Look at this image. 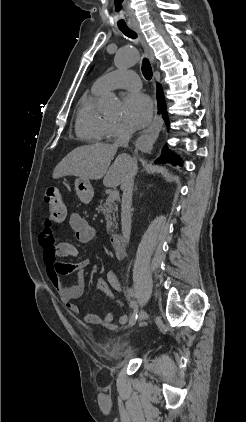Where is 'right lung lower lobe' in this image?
<instances>
[{
    "label": "right lung lower lobe",
    "mask_w": 246,
    "mask_h": 422,
    "mask_svg": "<svg viewBox=\"0 0 246 422\" xmlns=\"http://www.w3.org/2000/svg\"><path fill=\"white\" fill-rule=\"evenodd\" d=\"M157 99L159 103V113L162 114V118L165 120L166 125H169L168 117H167V111L165 106V99L163 95V91L161 89L160 84L157 85ZM156 163L162 164V163H173L174 165L180 164L181 161L176 156H174L173 152L168 150L166 146H164L162 150L161 156L155 161Z\"/></svg>",
    "instance_id": "obj_1"
}]
</instances>
